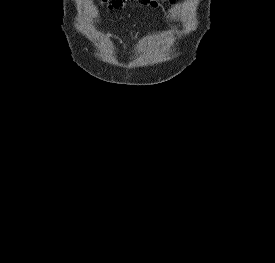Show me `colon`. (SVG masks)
<instances>
[{"instance_id": "colon-1", "label": "colon", "mask_w": 275, "mask_h": 263, "mask_svg": "<svg viewBox=\"0 0 275 263\" xmlns=\"http://www.w3.org/2000/svg\"><path fill=\"white\" fill-rule=\"evenodd\" d=\"M108 10H117L121 7L124 0H102ZM138 4L156 8L160 0H136Z\"/></svg>"}]
</instances>
